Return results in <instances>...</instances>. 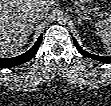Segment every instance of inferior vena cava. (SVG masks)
Segmentation results:
<instances>
[{
  "label": "inferior vena cava",
  "mask_w": 111,
  "mask_h": 106,
  "mask_svg": "<svg viewBox=\"0 0 111 106\" xmlns=\"http://www.w3.org/2000/svg\"><path fill=\"white\" fill-rule=\"evenodd\" d=\"M48 15V9L45 7H38L33 12V18L35 21H40Z\"/></svg>",
  "instance_id": "obj_1"
}]
</instances>
